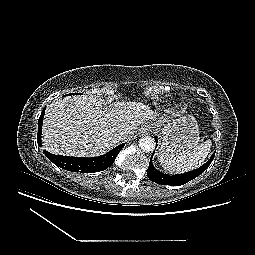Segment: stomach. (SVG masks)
<instances>
[{
	"label": "stomach",
	"mask_w": 255,
	"mask_h": 255,
	"mask_svg": "<svg viewBox=\"0 0 255 255\" xmlns=\"http://www.w3.org/2000/svg\"><path fill=\"white\" fill-rule=\"evenodd\" d=\"M159 156H175L183 151L194 148L199 142V128L192 115L169 120L159 126Z\"/></svg>",
	"instance_id": "obj_1"
}]
</instances>
